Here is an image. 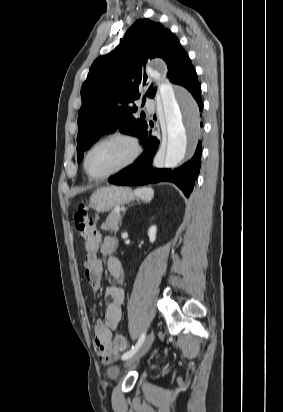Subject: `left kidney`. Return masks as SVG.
Masks as SVG:
<instances>
[{
	"label": "left kidney",
	"mask_w": 283,
	"mask_h": 412,
	"mask_svg": "<svg viewBox=\"0 0 283 412\" xmlns=\"http://www.w3.org/2000/svg\"><path fill=\"white\" fill-rule=\"evenodd\" d=\"M156 232H157V227L156 226H151L148 230V236L149 240L151 243H153L156 240Z\"/></svg>",
	"instance_id": "left-kidney-1"
}]
</instances>
